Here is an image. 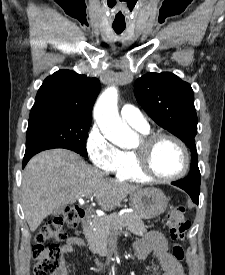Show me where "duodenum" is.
Listing matches in <instances>:
<instances>
[{"label":"duodenum","mask_w":225,"mask_h":275,"mask_svg":"<svg viewBox=\"0 0 225 275\" xmlns=\"http://www.w3.org/2000/svg\"><path fill=\"white\" fill-rule=\"evenodd\" d=\"M80 221L82 222L83 225H87L90 222L89 218L86 215L85 210H81Z\"/></svg>","instance_id":"1"}]
</instances>
